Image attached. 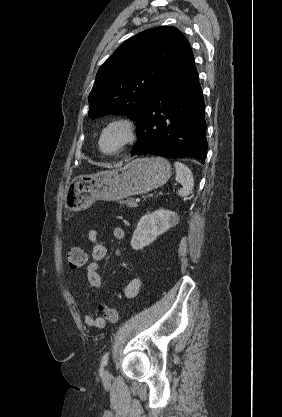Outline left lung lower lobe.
<instances>
[{
	"instance_id": "obj_1",
	"label": "left lung lower lobe",
	"mask_w": 282,
	"mask_h": 417,
	"mask_svg": "<svg viewBox=\"0 0 282 417\" xmlns=\"http://www.w3.org/2000/svg\"><path fill=\"white\" fill-rule=\"evenodd\" d=\"M137 123L132 156L193 157L204 164L205 103L190 47L160 81Z\"/></svg>"
}]
</instances>
